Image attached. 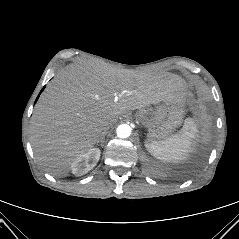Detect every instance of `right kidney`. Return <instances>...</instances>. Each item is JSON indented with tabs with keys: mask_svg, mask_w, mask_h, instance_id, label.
Masks as SVG:
<instances>
[{
	"mask_svg": "<svg viewBox=\"0 0 239 239\" xmlns=\"http://www.w3.org/2000/svg\"><path fill=\"white\" fill-rule=\"evenodd\" d=\"M98 148L89 149L87 152L78 155L71 164L72 173L81 176L92 170L100 159Z\"/></svg>",
	"mask_w": 239,
	"mask_h": 239,
	"instance_id": "ca27d5eb",
	"label": "right kidney"
}]
</instances>
